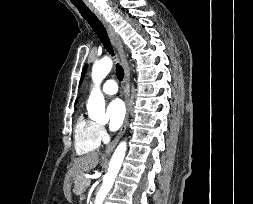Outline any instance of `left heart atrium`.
Here are the masks:
<instances>
[{"label": "left heart atrium", "instance_id": "39dd6f15", "mask_svg": "<svg viewBox=\"0 0 253 204\" xmlns=\"http://www.w3.org/2000/svg\"><path fill=\"white\" fill-rule=\"evenodd\" d=\"M107 114L109 118V128L111 131L118 130L125 119V107L121 100L114 99L107 106Z\"/></svg>", "mask_w": 253, "mask_h": 204}]
</instances>
